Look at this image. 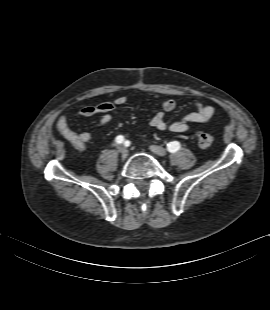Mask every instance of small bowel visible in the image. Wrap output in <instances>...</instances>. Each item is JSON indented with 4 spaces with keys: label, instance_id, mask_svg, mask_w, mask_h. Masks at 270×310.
Instances as JSON below:
<instances>
[{
    "label": "small bowel",
    "instance_id": "obj_1",
    "mask_svg": "<svg viewBox=\"0 0 270 310\" xmlns=\"http://www.w3.org/2000/svg\"><path fill=\"white\" fill-rule=\"evenodd\" d=\"M127 102L125 96H120L113 101H105L94 105H86L76 112V117H91L100 114L101 117L98 126L104 127L112 120V113L116 107L124 105ZM177 102L173 99H167L161 103V109L151 118L150 125L158 130H169L174 133H186L190 124H204L211 120L214 115V107L210 104L201 102L194 103L195 110L185 115L179 120L168 122L165 119V113L172 112L176 109ZM61 133L71 141L76 137L79 141L76 146L83 149L91 140V135L86 131H78L71 127L67 117H62L58 123Z\"/></svg>",
    "mask_w": 270,
    "mask_h": 310
}]
</instances>
